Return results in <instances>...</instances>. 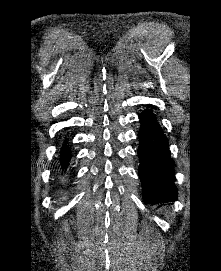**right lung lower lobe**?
Segmentation results:
<instances>
[{"instance_id":"obj_1","label":"right lung lower lobe","mask_w":221,"mask_h":271,"mask_svg":"<svg viewBox=\"0 0 221 271\" xmlns=\"http://www.w3.org/2000/svg\"><path fill=\"white\" fill-rule=\"evenodd\" d=\"M70 150L67 144H63L62 148L60 149V168L63 170L66 169L69 161H70Z\"/></svg>"}]
</instances>
